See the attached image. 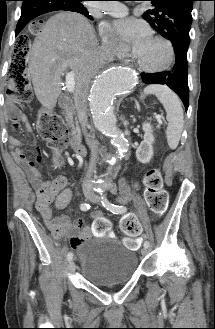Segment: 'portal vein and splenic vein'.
Listing matches in <instances>:
<instances>
[{
	"instance_id": "1",
	"label": "portal vein and splenic vein",
	"mask_w": 215,
	"mask_h": 329,
	"mask_svg": "<svg viewBox=\"0 0 215 329\" xmlns=\"http://www.w3.org/2000/svg\"><path fill=\"white\" fill-rule=\"evenodd\" d=\"M66 87L69 92H73L75 89V74L73 71L66 73ZM155 118L158 121H161L162 116L161 115H155Z\"/></svg>"
}]
</instances>
